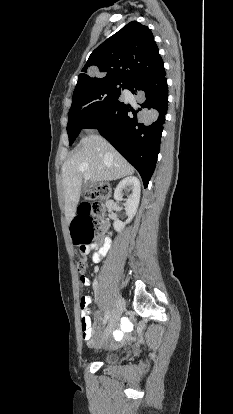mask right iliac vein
<instances>
[{"label":"right iliac vein","instance_id":"right-iliac-vein-1","mask_svg":"<svg viewBox=\"0 0 233 414\" xmlns=\"http://www.w3.org/2000/svg\"><path fill=\"white\" fill-rule=\"evenodd\" d=\"M124 307H125V301H124V299L120 298L117 301V303H116V305H115V307L112 311V315H111L108 327L106 329L105 337H107L111 333V331L114 329V327L116 326L119 318L121 317V315L124 311Z\"/></svg>","mask_w":233,"mask_h":414}]
</instances>
